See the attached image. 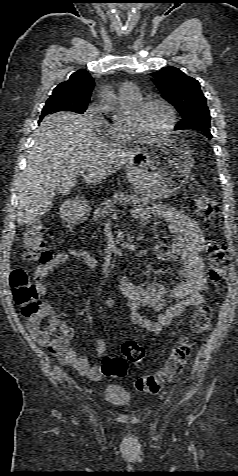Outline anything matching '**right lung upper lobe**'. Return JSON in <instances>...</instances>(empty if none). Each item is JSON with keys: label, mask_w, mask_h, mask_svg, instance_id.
Here are the masks:
<instances>
[{"label": "right lung upper lobe", "mask_w": 238, "mask_h": 476, "mask_svg": "<svg viewBox=\"0 0 238 476\" xmlns=\"http://www.w3.org/2000/svg\"><path fill=\"white\" fill-rule=\"evenodd\" d=\"M93 89V78L86 70L81 69L73 73L69 80L54 88L52 95H63L73 104L87 105Z\"/></svg>", "instance_id": "1"}]
</instances>
